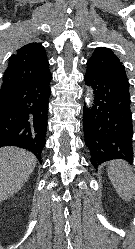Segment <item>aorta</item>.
Returning a JSON list of instances; mask_svg holds the SVG:
<instances>
[{"mask_svg":"<svg viewBox=\"0 0 135 249\" xmlns=\"http://www.w3.org/2000/svg\"><path fill=\"white\" fill-rule=\"evenodd\" d=\"M85 97H86L88 104L91 105L93 102V92L91 89L86 90Z\"/></svg>","mask_w":135,"mask_h":249,"instance_id":"aorta-1","label":"aorta"}]
</instances>
